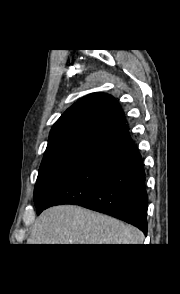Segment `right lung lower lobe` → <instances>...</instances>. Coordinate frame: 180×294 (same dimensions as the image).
Listing matches in <instances>:
<instances>
[{"label": "right lung lower lobe", "mask_w": 180, "mask_h": 294, "mask_svg": "<svg viewBox=\"0 0 180 294\" xmlns=\"http://www.w3.org/2000/svg\"><path fill=\"white\" fill-rule=\"evenodd\" d=\"M147 200L141 155L124 125L99 143L37 214L75 204L128 222L146 235Z\"/></svg>", "instance_id": "98d812e1"}]
</instances>
